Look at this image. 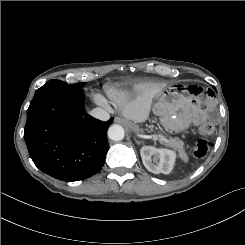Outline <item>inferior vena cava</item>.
<instances>
[{
	"label": "inferior vena cava",
	"mask_w": 245,
	"mask_h": 245,
	"mask_svg": "<svg viewBox=\"0 0 245 245\" xmlns=\"http://www.w3.org/2000/svg\"><path fill=\"white\" fill-rule=\"evenodd\" d=\"M90 114L102 121H107L110 118V115L107 111H105L104 109L101 108H95L93 110H91Z\"/></svg>",
	"instance_id": "602c4592"
}]
</instances>
